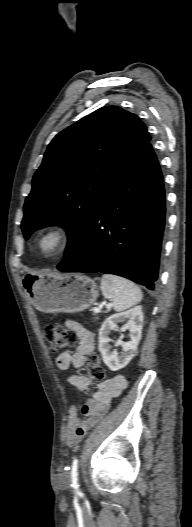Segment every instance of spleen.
I'll return each mask as SVG.
<instances>
[{
    "mask_svg": "<svg viewBox=\"0 0 192 527\" xmlns=\"http://www.w3.org/2000/svg\"><path fill=\"white\" fill-rule=\"evenodd\" d=\"M100 288L103 296L112 301L113 308L118 312L138 304L142 299V291L139 287L116 275H103Z\"/></svg>",
    "mask_w": 192,
    "mask_h": 527,
    "instance_id": "3e777b00",
    "label": "spleen"
}]
</instances>
